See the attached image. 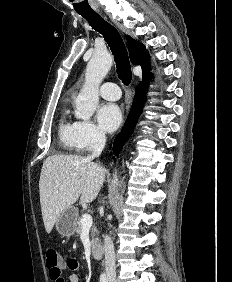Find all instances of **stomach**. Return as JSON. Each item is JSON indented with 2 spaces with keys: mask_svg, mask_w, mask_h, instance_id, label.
<instances>
[{
  "mask_svg": "<svg viewBox=\"0 0 232 282\" xmlns=\"http://www.w3.org/2000/svg\"><path fill=\"white\" fill-rule=\"evenodd\" d=\"M78 211L75 207L70 206L65 209L57 219L55 227L57 232L65 238H70L76 231Z\"/></svg>",
  "mask_w": 232,
  "mask_h": 282,
  "instance_id": "obj_1",
  "label": "stomach"
}]
</instances>
